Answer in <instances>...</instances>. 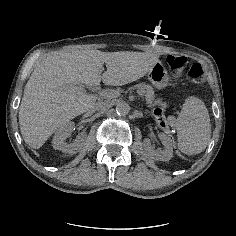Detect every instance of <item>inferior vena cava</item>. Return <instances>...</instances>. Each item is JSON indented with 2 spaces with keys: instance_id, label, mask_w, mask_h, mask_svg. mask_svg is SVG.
I'll return each instance as SVG.
<instances>
[{
  "instance_id": "1",
  "label": "inferior vena cava",
  "mask_w": 236,
  "mask_h": 236,
  "mask_svg": "<svg viewBox=\"0 0 236 236\" xmlns=\"http://www.w3.org/2000/svg\"><path fill=\"white\" fill-rule=\"evenodd\" d=\"M111 107L110 101H99L95 103L91 108H94L95 110H104Z\"/></svg>"
}]
</instances>
